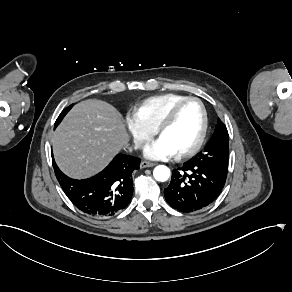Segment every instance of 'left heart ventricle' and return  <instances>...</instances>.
Returning a JSON list of instances; mask_svg holds the SVG:
<instances>
[{
    "mask_svg": "<svg viewBox=\"0 0 292 292\" xmlns=\"http://www.w3.org/2000/svg\"><path fill=\"white\" fill-rule=\"evenodd\" d=\"M201 121V112L196 102L183 104L172 122L164 129L161 137L177 151L189 147L196 139Z\"/></svg>",
    "mask_w": 292,
    "mask_h": 292,
    "instance_id": "obj_1",
    "label": "left heart ventricle"
}]
</instances>
